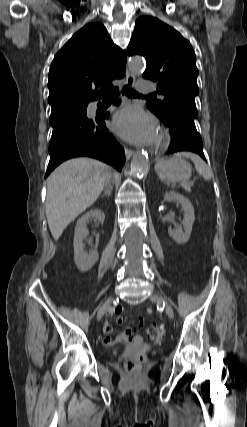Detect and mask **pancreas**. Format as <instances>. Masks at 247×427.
I'll return each instance as SVG.
<instances>
[{
    "mask_svg": "<svg viewBox=\"0 0 247 427\" xmlns=\"http://www.w3.org/2000/svg\"><path fill=\"white\" fill-rule=\"evenodd\" d=\"M185 187L188 189V190H190V185L189 184H185Z\"/></svg>",
    "mask_w": 247,
    "mask_h": 427,
    "instance_id": "obj_1",
    "label": "pancreas"
}]
</instances>
